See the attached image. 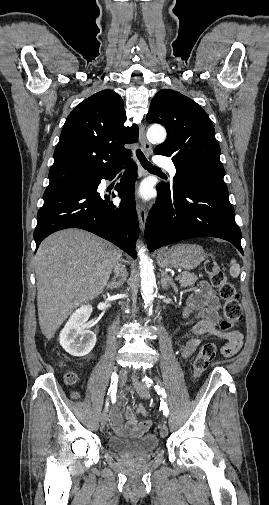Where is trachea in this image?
<instances>
[{
  "label": "trachea",
  "instance_id": "1",
  "mask_svg": "<svg viewBox=\"0 0 269 505\" xmlns=\"http://www.w3.org/2000/svg\"><path fill=\"white\" fill-rule=\"evenodd\" d=\"M136 156L137 158L139 159L141 165L149 170V171H156V172H161V169L156 167V166H153L145 157V155L143 154V152L140 150V149H137L136 150Z\"/></svg>",
  "mask_w": 269,
  "mask_h": 505
}]
</instances>
